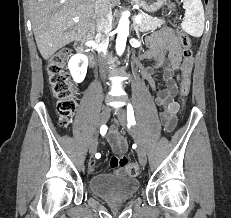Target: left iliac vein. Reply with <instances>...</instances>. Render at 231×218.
<instances>
[{
    "label": "left iliac vein",
    "instance_id": "obj_1",
    "mask_svg": "<svg viewBox=\"0 0 231 218\" xmlns=\"http://www.w3.org/2000/svg\"><path fill=\"white\" fill-rule=\"evenodd\" d=\"M117 118L120 122V124L127 128L128 131L130 132V134L134 137V139L137 142V153H138V158H139V162L142 166L146 165L147 162V155H146V150L142 141V137L140 135V132L138 131V129L135 126H131L128 127L127 124V113L125 111V109H119L117 111Z\"/></svg>",
    "mask_w": 231,
    "mask_h": 218
}]
</instances>
